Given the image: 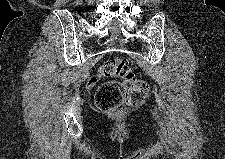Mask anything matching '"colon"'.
Here are the masks:
<instances>
[{
	"label": "colon",
	"mask_w": 225,
	"mask_h": 159,
	"mask_svg": "<svg viewBox=\"0 0 225 159\" xmlns=\"http://www.w3.org/2000/svg\"><path fill=\"white\" fill-rule=\"evenodd\" d=\"M104 78L120 77L122 81H107L101 84L95 94L96 105L104 113L122 114L128 107H136L145 102L148 84L135 77L134 70L124 58L106 60L99 69Z\"/></svg>",
	"instance_id": "5ec220e1"
}]
</instances>
